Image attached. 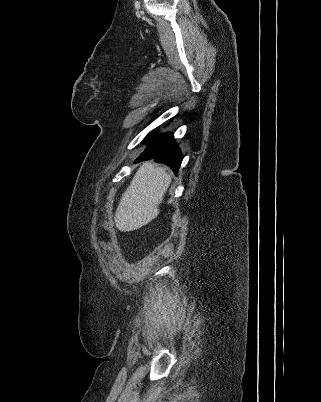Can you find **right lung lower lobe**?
<instances>
[{
    "mask_svg": "<svg viewBox=\"0 0 321 402\" xmlns=\"http://www.w3.org/2000/svg\"><path fill=\"white\" fill-rule=\"evenodd\" d=\"M155 130L151 131L146 138H152V142L135 162L154 159L158 163H164L178 173L182 162V154L174 142L173 134L167 133L155 136Z\"/></svg>",
    "mask_w": 321,
    "mask_h": 402,
    "instance_id": "98d812e1",
    "label": "right lung lower lobe"
}]
</instances>
